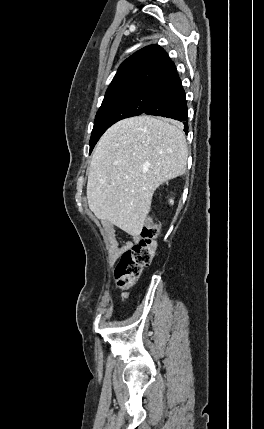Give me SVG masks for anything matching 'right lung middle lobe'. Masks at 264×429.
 <instances>
[{"label":"right lung middle lobe","instance_id":"1","mask_svg":"<svg viewBox=\"0 0 264 429\" xmlns=\"http://www.w3.org/2000/svg\"><path fill=\"white\" fill-rule=\"evenodd\" d=\"M160 87L140 85L107 93L94 121L90 152L102 134L117 121L142 114Z\"/></svg>","mask_w":264,"mask_h":429}]
</instances>
